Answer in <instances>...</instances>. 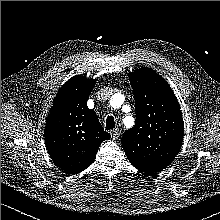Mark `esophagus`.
<instances>
[{
    "label": "esophagus",
    "instance_id": "obj_1",
    "mask_svg": "<svg viewBox=\"0 0 220 220\" xmlns=\"http://www.w3.org/2000/svg\"><path fill=\"white\" fill-rule=\"evenodd\" d=\"M110 134H111V138L113 139V140H115V139H117L118 137H119V130L118 129H112L111 131H110Z\"/></svg>",
    "mask_w": 220,
    "mask_h": 220
}]
</instances>
